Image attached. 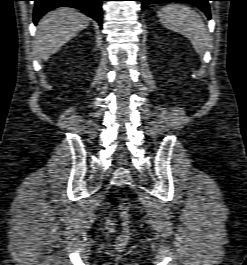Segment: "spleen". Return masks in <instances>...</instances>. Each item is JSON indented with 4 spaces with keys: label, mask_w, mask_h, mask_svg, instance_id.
I'll list each match as a JSON object with an SVG mask.
<instances>
[{
    "label": "spleen",
    "mask_w": 247,
    "mask_h": 265,
    "mask_svg": "<svg viewBox=\"0 0 247 265\" xmlns=\"http://www.w3.org/2000/svg\"><path fill=\"white\" fill-rule=\"evenodd\" d=\"M158 17L164 27L187 37L198 54L205 52L209 35L195 10L181 4H170L158 11Z\"/></svg>",
    "instance_id": "spleen-1"
}]
</instances>
